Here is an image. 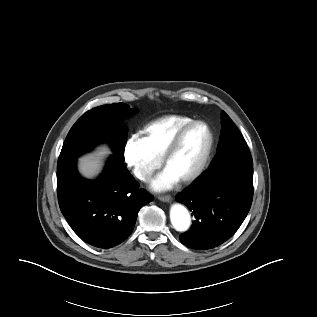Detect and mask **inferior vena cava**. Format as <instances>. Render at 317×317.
Masks as SVG:
<instances>
[{
	"label": "inferior vena cava",
	"instance_id": "obj_1",
	"mask_svg": "<svg viewBox=\"0 0 317 317\" xmlns=\"http://www.w3.org/2000/svg\"><path fill=\"white\" fill-rule=\"evenodd\" d=\"M137 175H139L140 179L147 182L150 181L152 178V172L147 171V172H139L138 170L136 171Z\"/></svg>",
	"mask_w": 317,
	"mask_h": 317
}]
</instances>
